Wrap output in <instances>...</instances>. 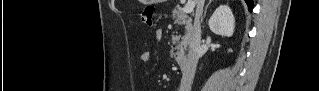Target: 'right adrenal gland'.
<instances>
[{"label":"right adrenal gland","mask_w":319,"mask_h":91,"mask_svg":"<svg viewBox=\"0 0 319 91\" xmlns=\"http://www.w3.org/2000/svg\"><path fill=\"white\" fill-rule=\"evenodd\" d=\"M211 2H212V0H209V3L206 5L205 10H204V14H203V16H202L201 21H203V19L205 18L206 13H207V9H208V7H209V5H210Z\"/></svg>","instance_id":"right-adrenal-gland-1"}]
</instances>
